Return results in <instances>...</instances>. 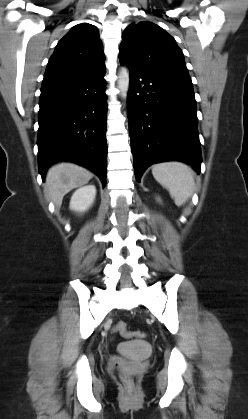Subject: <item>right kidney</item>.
<instances>
[{
	"label": "right kidney",
	"mask_w": 248,
	"mask_h": 419,
	"mask_svg": "<svg viewBox=\"0 0 248 419\" xmlns=\"http://www.w3.org/2000/svg\"><path fill=\"white\" fill-rule=\"evenodd\" d=\"M96 188L94 185H87L77 189L70 200V210L75 212H85L94 203Z\"/></svg>",
	"instance_id": "obj_1"
}]
</instances>
